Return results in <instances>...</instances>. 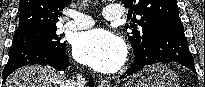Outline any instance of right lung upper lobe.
Segmentation results:
<instances>
[{"instance_id": "1", "label": "right lung upper lobe", "mask_w": 205, "mask_h": 87, "mask_svg": "<svg viewBox=\"0 0 205 87\" xmlns=\"http://www.w3.org/2000/svg\"><path fill=\"white\" fill-rule=\"evenodd\" d=\"M71 0H21L17 32L57 28L58 17Z\"/></svg>"}]
</instances>
